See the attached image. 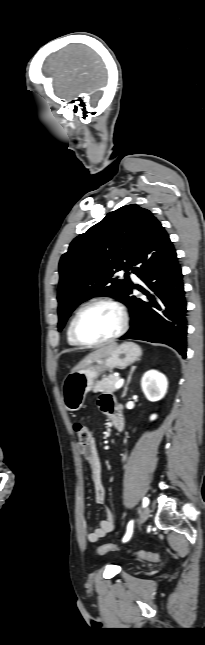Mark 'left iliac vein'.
<instances>
[{
    "label": "left iliac vein",
    "mask_w": 205,
    "mask_h": 645,
    "mask_svg": "<svg viewBox=\"0 0 205 645\" xmlns=\"http://www.w3.org/2000/svg\"><path fill=\"white\" fill-rule=\"evenodd\" d=\"M149 514H150L149 507H145L141 513L140 519L138 520V525L143 524L148 519Z\"/></svg>",
    "instance_id": "4c4485c4"
}]
</instances>
